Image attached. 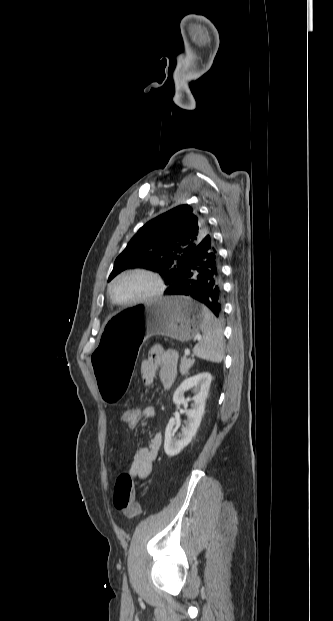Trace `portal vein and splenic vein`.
Here are the masks:
<instances>
[{
  "label": "portal vein and splenic vein",
  "instance_id": "18ae733b",
  "mask_svg": "<svg viewBox=\"0 0 333 621\" xmlns=\"http://www.w3.org/2000/svg\"><path fill=\"white\" fill-rule=\"evenodd\" d=\"M198 340H200V338H198ZM185 355H189L190 354V350L189 349H185Z\"/></svg>",
  "mask_w": 333,
  "mask_h": 621
}]
</instances>
